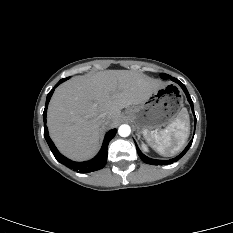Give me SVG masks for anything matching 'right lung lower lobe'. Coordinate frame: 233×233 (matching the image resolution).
Masks as SVG:
<instances>
[{
	"label": "right lung lower lobe",
	"mask_w": 233,
	"mask_h": 233,
	"mask_svg": "<svg viewBox=\"0 0 233 233\" xmlns=\"http://www.w3.org/2000/svg\"><path fill=\"white\" fill-rule=\"evenodd\" d=\"M67 79L68 78L61 79L47 95L46 105H45V109L43 112L44 137H45L54 157L57 159V161H59L60 163H63L66 167L73 169L77 172H81V173L93 172V171L99 170L105 166L106 161H107L108 143L115 136L116 129H112L106 133L101 150L92 160L85 161V162H74V161L69 160L68 158L64 157L62 154L59 153V151L55 147L54 143L52 142V140L50 139L49 134H48V129L46 126V113H47L48 103H49L50 98L54 92V89L60 83L64 82Z\"/></svg>",
	"instance_id": "obj_1"
}]
</instances>
